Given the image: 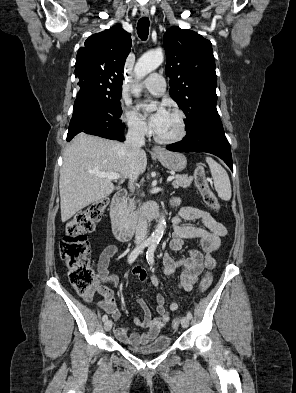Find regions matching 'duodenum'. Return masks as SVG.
Returning <instances> with one entry per match:
<instances>
[{"label":"duodenum","mask_w":296,"mask_h":393,"mask_svg":"<svg viewBox=\"0 0 296 393\" xmlns=\"http://www.w3.org/2000/svg\"><path fill=\"white\" fill-rule=\"evenodd\" d=\"M127 191L125 189L118 190L110 205V223L114 236L119 241H127L135 236L139 229L129 225L124 220L123 203L126 200ZM146 215L149 220L156 219L160 215V209L155 204H149L146 207Z\"/></svg>","instance_id":"obj_1"}]
</instances>
